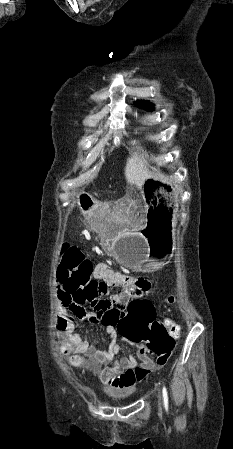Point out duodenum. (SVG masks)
Instances as JSON below:
<instances>
[{
    "label": "duodenum",
    "mask_w": 233,
    "mask_h": 449,
    "mask_svg": "<svg viewBox=\"0 0 233 449\" xmlns=\"http://www.w3.org/2000/svg\"><path fill=\"white\" fill-rule=\"evenodd\" d=\"M79 199H78V204L80 206H85L86 209L91 210L94 207L93 202H91V199L89 197H86V193L85 192H80L79 193Z\"/></svg>",
    "instance_id": "obj_1"
}]
</instances>
